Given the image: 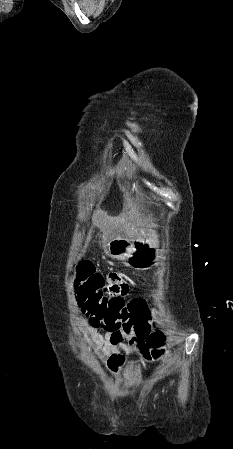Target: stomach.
<instances>
[{
	"mask_svg": "<svg viewBox=\"0 0 233 449\" xmlns=\"http://www.w3.org/2000/svg\"><path fill=\"white\" fill-rule=\"evenodd\" d=\"M103 220H110V213L102 214ZM118 221H128L130 214L128 212H118L116 214ZM107 253L114 258H118L127 262V264L135 270H148L161 258L157 252L156 240L149 238L148 240H110L105 245Z\"/></svg>",
	"mask_w": 233,
	"mask_h": 449,
	"instance_id": "stomach-1",
	"label": "stomach"
}]
</instances>
